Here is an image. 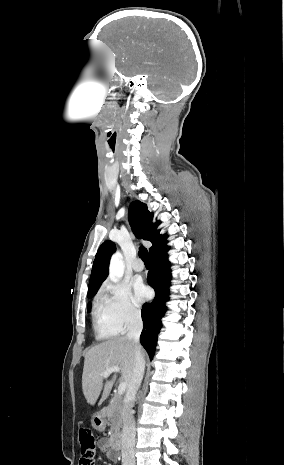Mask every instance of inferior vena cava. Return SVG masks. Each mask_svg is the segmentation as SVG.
I'll list each match as a JSON object with an SVG mask.
<instances>
[{
  "label": "inferior vena cava",
  "mask_w": 284,
  "mask_h": 465,
  "mask_svg": "<svg viewBox=\"0 0 284 465\" xmlns=\"http://www.w3.org/2000/svg\"><path fill=\"white\" fill-rule=\"evenodd\" d=\"M143 329V323L141 315L138 313H131L129 323L127 325V339H131L135 345H139V339L141 331ZM145 369V361L142 357L141 351L136 349L134 357V369L131 379V383L128 385L127 393L125 395L123 409H122V419H123V429H122V465H136L135 463V437H136V427L133 417V407L135 403V397L140 385L142 383L143 375Z\"/></svg>",
  "instance_id": "1"
}]
</instances>
